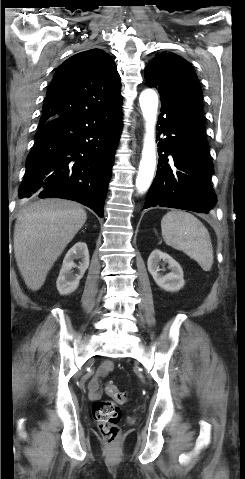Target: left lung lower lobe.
<instances>
[{
  "instance_id": "1",
  "label": "left lung lower lobe",
  "mask_w": 245,
  "mask_h": 479,
  "mask_svg": "<svg viewBox=\"0 0 245 479\" xmlns=\"http://www.w3.org/2000/svg\"><path fill=\"white\" fill-rule=\"evenodd\" d=\"M157 129L159 163L144 208L208 213L216 196L201 102L191 97L162 100Z\"/></svg>"
}]
</instances>
